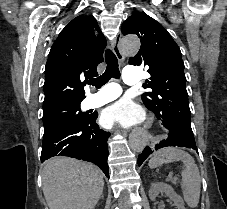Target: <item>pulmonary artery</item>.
Segmentation results:
<instances>
[{
	"instance_id": "pulmonary-artery-1",
	"label": "pulmonary artery",
	"mask_w": 227,
	"mask_h": 209,
	"mask_svg": "<svg viewBox=\"0 0 227 209\" xmlns=\"http://www.w3.org/2000/svg\"><path fill=\"white\" fill-rule=\"evenodd\" d=\"M123 83L131 85L139 83L138 75L141 74L136 66H125L123 69ZM98 86H103V83H98ZM120 95L119 84H110V88H104V92L94 93L93 91L87 92V97L84 98V103L89 108L100 107Z\"/></svg>"
}]
</instances>
